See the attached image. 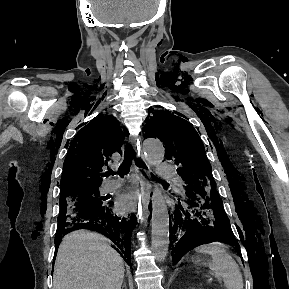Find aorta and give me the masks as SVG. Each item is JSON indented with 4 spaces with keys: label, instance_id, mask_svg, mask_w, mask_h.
<instances>
[{
    "label": "aorta",
    "instance_id": "aorta-1",
    "mask_svg": "<svg viewBox=\"0 0 289 289\" xmlns=\"http://www.w3.org/2000/svg\"><path fill=\"white\" fill-rule=\"evenodd\" d=\"M146 160L156 165L163 161L165 148L158 139H146L143 142ZM151 249L157 261L162 262L169 248V215L165 199L159 186H155L152 195Z\"/></svg>",
    "mask_w": 289,
    "mask_h": 289
}]
</instances>
